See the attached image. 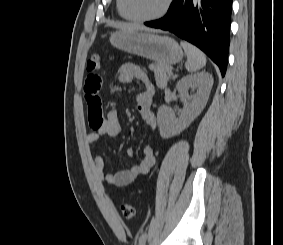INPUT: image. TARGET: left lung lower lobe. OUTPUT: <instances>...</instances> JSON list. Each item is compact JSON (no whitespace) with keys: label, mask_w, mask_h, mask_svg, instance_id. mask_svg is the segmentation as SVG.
<instances>
[{"label":"left lung lower lobe","mask_w":283,"mask_h":245,"mask_svg":"<svg viewBox=\"0 0 283 245\" xmlns=\"http://www.w3.org/2000/svg\"><path fill=\"white\" fill-rule=\"evenodd\" d=\"M232 0H173L167 14L146 26L168 30L199 47L225 75Z\"/></svg>","instance_id":"0a47b994"}]
</instances>
